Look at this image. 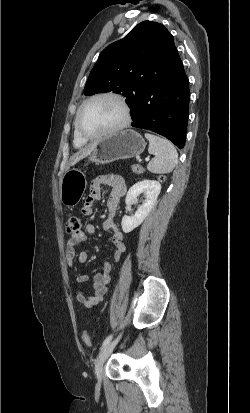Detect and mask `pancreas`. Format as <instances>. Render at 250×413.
Here are the masks:
<instances>
[{
    "mask_svg": "<svg viewBox=\"0 0 250 413\" xmlns=\"http://www.w3.org/2000/svg\"><path fill=\"white\" fill-rule=\"evenodd\" d=\"M132 169L135 173H142V171H143L141 168H139V166H133Z\"/></svg>",
    "mask_w": 250,
    "mask_h": 413,
    "instance_id": "pancreas-1",
    "label": "pancreas"
}]
</instances>
